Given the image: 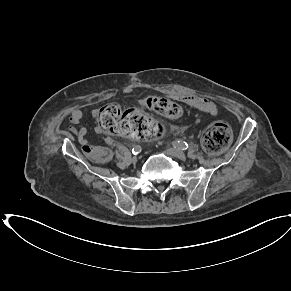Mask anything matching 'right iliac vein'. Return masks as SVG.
<instances>
[{"instance_id": "right-iliac-vein-1", "label": "right iliac vein", "mask_w": 291, "mask_h": 291, "mask_svg": "<svg viewBox=\"0 0 291 291\" xmlns=\"http://www.w3.org/2000/svg\"><path fill=\"white\" fill-rule=\"evenodd\" d=\"M137 159H138V157H137V156H133V157H132V162H136V161H137Z\"/></svg>"}]
</instances>
